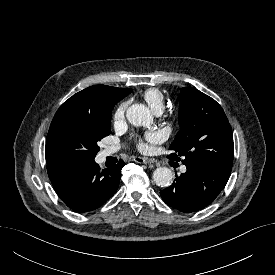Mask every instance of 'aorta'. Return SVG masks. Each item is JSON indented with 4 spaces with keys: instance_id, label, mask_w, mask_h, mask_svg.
Here are the masks:
<instances>
[{
    "instance_id": "aorta-1",
    "label": "aorta",
    "mask_w": 275,
    "mask_h": 275,
    "mask_svg": "<svg viewBox=\"0 0 275 275\" xmlns=\"http://www.w3.org/2000/svg\"><path fill=\"white\" fill-rule=\"evenodd\" d=\"M127 120L134 126L148 127L153 121L150 110L142 104L131 105L126 112ZM173 173L168 167H159L153 173V180L159 187L170 185Z\"/></svg>"
}]
</instances>
